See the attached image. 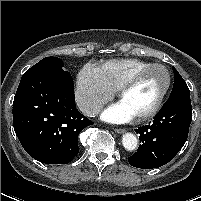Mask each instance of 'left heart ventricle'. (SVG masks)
Returning a JSON list of instances; mask_svg holds the SVG:
<instances>
[{
    "label": "left heart ventricle",
    "mask_w": 201,
    "mask_h": 201,
    "mask_svg": "<svg viewBox=\"0 0 201 201\" xmlns=\"http://www.w3.org/2000/svg\"><path fill=\"white\" fill-rule=\"evenodd\" d=\"M166 83V74L161 68H154L144 75L123 95L121 102L134 116L150 109Z\"/></svg>",
    "instance_id": "left-heart-ventricle-1"
}]
</instances>
